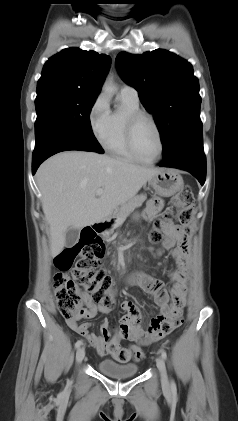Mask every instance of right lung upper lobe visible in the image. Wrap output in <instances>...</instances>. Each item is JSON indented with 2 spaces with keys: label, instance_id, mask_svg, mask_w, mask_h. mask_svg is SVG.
<instances>
[{
  "label": "right lung upper lobe",
  "instance_id": "cb5924a9",
  "mask_svg": "<svg viewBox=\"0 0 238 421\" xmlns=\"http://www.w3.org/2000/svg\"><path fill=\"white\" fill-rule=\"evenodd\" d=\"M110 63L105 54L77 47L64 49L45 63L37 89L55 87L99 94Z\"/></svg>",
  "mask_w": 238,
  "mask_h": 421
}]
</instances>
